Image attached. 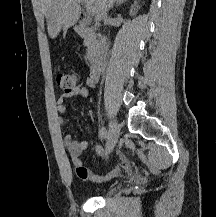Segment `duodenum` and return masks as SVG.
I'll use <instances>...</instances> for the list:
<instances>
[{"label":"duodenum","mask_w":216,"mask_h":217,"mask_svg":"<svg viewBox=\"0 0 216 217\" xmlns=\"http://www.w3.org/2000/svg\"><path fill=\"white\" fill-rule=\"evenodd\" d=\"M77 30L80 34L84 35L90 43L93 52L90 55L91 74H98L104 67L108 57V43L105 37L99 36L90 27L78 26Z\"/></svg>","instance_id":"obj_1"}]
</instances>
